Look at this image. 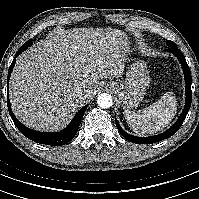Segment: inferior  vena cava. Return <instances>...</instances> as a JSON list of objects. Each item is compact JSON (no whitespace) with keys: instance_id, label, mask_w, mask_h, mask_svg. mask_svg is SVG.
<instances>
[{"instance_id":"602c4592","label":"inferior vena cava","mask_w":199,"mask_h":199,"mask_svg":"<svg viewBox=\"0 0 199 199\" xmlns=\"http://www.w3.org/2000/svg\"><path fill=\"white\" fill-rule=\"evenodd\" d=\"M83 95H84V90L81 88H78L74 91L75 98L81 99L83 97Z\"/></svg>"}]
</instances>
